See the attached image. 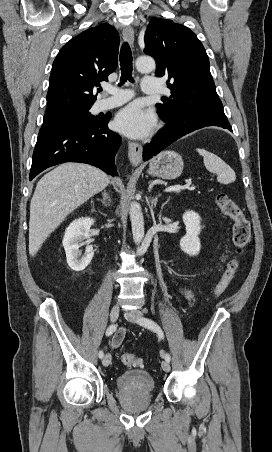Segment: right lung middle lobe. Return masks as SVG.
Instances as JSON below:
<instances>
[{
  "label": "right lung middle lobe",
  "mask_w": 272,
  "mask_h": 452,
  "mask_svg": "<svg viewBox=\"0 0 272 452\" xmlns=\"http://www.w3.org/2000/svg\"><path fill=\"white\" fill-rule=\"evenodd\" d=\"M91 106L83 107V108H77L65 112L45 115L44 120L49 119H72L76 121L81 122H92L96 120L98 117L93 116L89 110Z\"/></svg>",
  "instance_id": "1"
}]
</instances>
